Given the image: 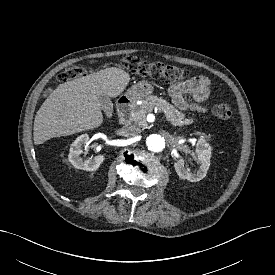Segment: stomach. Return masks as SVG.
<instances>
[{"instance_id":"obj_1","label":"stomach","mask_w":275,"mask_h":275,"mask_svg":"<svg viewBox=\"0 0 275 275\" xmlns=\"http://www.w3.org/2000/svg\"><path fill=\"white\" fill-rule=\"evenodd\" d=\"M153 92V86L147 81H140L127 90L125 96L130 100L136 101L147 97Z\"/></svg>"}]
</instances>
